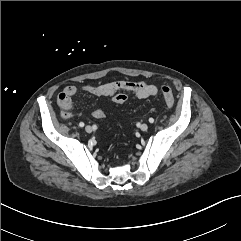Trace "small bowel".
Wrapping results in <instances>:
<instances>
[{
  "mask_svg": "<svg viewBox=\"0 0 241 241\" xmlns=\"http://www.w3.org/2000/svg\"><path fill=\"white\" fill-rule=\"evenodd\" d=\"M83 89L98 97H114L118 92H129L139 99H146L157 94L155 85L144 81H116L105 84L92 85L88 84ZM77 93V88L74 85L66 86L57 97V104L61 108V117L64 120H69L74 116L73 97ZM92 116L96 119H102L105 114L101 109H95Z\"/></svg>",
  "mask_w": 241,
  "mask_h": 241,
  "instance_id": "c3829d8e",
  "label": "small bowel"
}]
</instances>
